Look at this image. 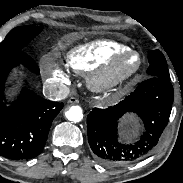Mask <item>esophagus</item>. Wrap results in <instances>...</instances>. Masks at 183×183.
<instances>
[{
  "label": "esophagus",
  "mask_w": 183,
  "mask_h": 183,
  "mask_svg": "<svg viewBox=\"0 0 183 183\" xmlns=\"http://www.w3.org/2000/svg\"><path fill=\"white\" fill-rule=\"evenodd\" d=\"M68 103H70V104H78L79 100L76 97H70L68 99Z\"/></svg>",
  "instance_id": "1"
}]
</instances>
